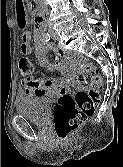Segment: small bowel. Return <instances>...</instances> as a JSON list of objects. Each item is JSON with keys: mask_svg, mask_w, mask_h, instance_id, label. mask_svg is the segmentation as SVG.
<instances>
[{"mask_svg": "<svg viewBox=\"0 0 123 167\" xmlns=\"http://www.w3.org/2000/svg\"><path fill=\"white\" fill-rule=\"evenodd\" d=\"M16 5L15 14H17L18 24L24 28L28 24V13L25 1L14 0ZM43 31L40 29V24L35 23V54L40 66L49 70H60L64 53L61 50H56L53 59L49 57L50 46L42 39ZM31 32L24 31L22 33L21 53L29 56L33 52L31 46ZM22 91L29 96H41L52 98L56 95H62L69 90L73 83L70 78L61 80L52 77H27L21 80Z\"/></svg>", "mask_w": 123, "mask_h": 167, "instance_id": "obj_1", "label": "small bowel"}]
</instances>
